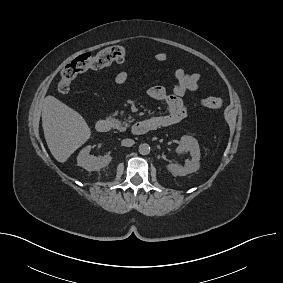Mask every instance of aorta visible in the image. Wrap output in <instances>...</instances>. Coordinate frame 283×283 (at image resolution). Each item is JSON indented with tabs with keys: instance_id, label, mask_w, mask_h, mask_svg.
Masks as SVG:
<instances>
[{
	"instance_id": "762f6f07",
	"label": "aorta",
	"mask_w": 283,
	"mask_h": 283,
	"mask_svg": "<svg viewBox=\"0 0 283 283\" xmlns=\"http://www.w3.org/2000/svg\"><path fill=\"white\" fill-rule=\"evenodd\" d=\"M138 151L141 155H147L150 153V146L147 143H143L139 146Z\"/></svg>"
}]
</instances>
